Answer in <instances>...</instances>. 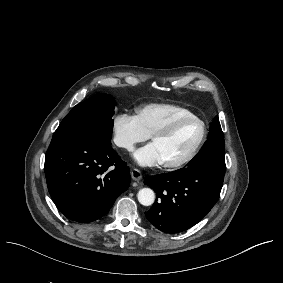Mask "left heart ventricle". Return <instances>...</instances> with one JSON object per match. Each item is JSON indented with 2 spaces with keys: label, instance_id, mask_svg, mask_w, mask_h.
Segmentation results:
<instances>
[{
  "label": "left heart ventricle",
  "instance_id": "left-heart-ventricle-1",
  "mask_svg": "<svg viewBox=\"0 0 283 283\" xmlns=\"http://www.w3.org/2000/svg\"><path fill=\"white\" fill-rule=\"evenodd\" d=\"M201 134V124L187 121L178 126L169 138L154 139L162 150L165 162H177L186 157L192 150Z\"/></svg>",
  "mask_w": 283,
  "mask_h": 283
}]
</instances>
